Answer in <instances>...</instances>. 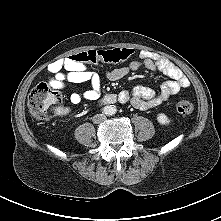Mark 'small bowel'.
Segmentation results:
<instances>
[{
    "mask_svg": "<svg viewBox=\"0 0 221 221\" xmlns=\"http://www.w3.org/2000/svg\"><path fill=\"white\" fill-rule=\"evenodd\" d=\"M140 68L161 72L170 80L162 84L159 92L144 86L134 87L131 91H122L119 94L120 101L129 102L135 108L141 110L154 108L190 85L189 79L179 67L169 59L149 51H141L137 60L125 66L106 69L105 77L110 81H117ZM49 71L52 76L48 83L54 89H65L68 84L90 83L89 89L71 93L69 97L71 104L77 105L82 101H96L100 98L101 77L83 64L75 63L70 58H61L50 64ZM70 111V108H65L62 113L67 115Z\"/></svg>",
    "mask_w": 221,
    "mask_h": 221,
    "instance_id": "obj_1",
    "label": "small bowel"
}]
</instances>
